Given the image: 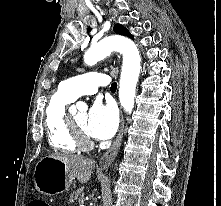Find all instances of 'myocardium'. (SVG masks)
Instances as JSON below:
<instances>
[{
    "mask_svg": "<svg viewBox=\"0 0 221 206\" xmlns=\"http://www.w3.org/2000/svg\"><path fill=\"white\" fill-rule=\"evenodd\" d=\"M69 123L78 147L84 150L91 149L94 144L87 133L79 127L74 118L71 116H69Z\"/></svg>",
    "mask_w": 221,
    "mask_h": 206,
    "instance_id": "myocardium-1",
    "label": "myocardium"
}]
</instances>
